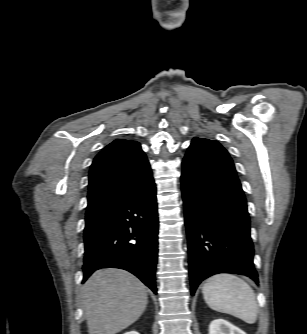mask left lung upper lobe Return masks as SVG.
I'll return each instance as SVG.
<instances>
[{
	"mask_svg": "<svg viewBox=\"0 0 307 334\" xmlns=\"http://www.w3.org/2000/svg\"><path fill=\"white\" fill-rule=\"evenodd\" d=\"M182 166L183 168L239 181L235 166L227 150L215 140L194 138L183 159Z\"/></svg>",
	"mask_w": 307,
	"mask_h": 334,
	"instance_id": "5c2ea615",
	"label": "left lung upper lobe"
}]
</instances>
